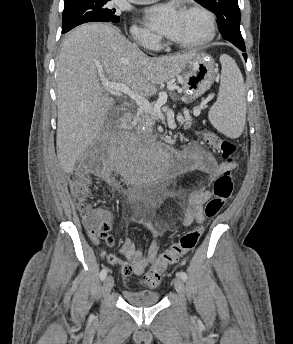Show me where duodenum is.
I'll use <instances>...</instances> for the list:
<instances>
[{
	"label": "duodenum",
	"instance_id": "1",
	"mask_svg": "<svg viewBox=\"0 0 293 344\" xmlns=\"http://www.w3.org/2000/svg\"><path fill=\"white\" fill-rule=\"evenodd\" d=\"M131 123V116L127 115L123 118L122 120V127L125 128L127 126H129ZM174 162L178 163V170L181 169V167L188 162V158L187 155L183 152V153H177L175 152V156H174Z\"/></svg>",
	"mask_w": 293,
	"mask_h": 344
}]
</instances>
